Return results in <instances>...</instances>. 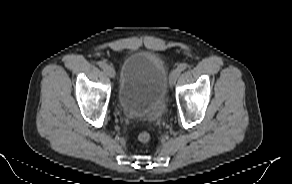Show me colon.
Here are the masks:
<instances>
[{
  "mask_svg": "<svg viewBox=\"0 0 292 184\" xmlns=\"http://www.w3.org/2000/svg\"><path fill=\"white\" fill-rule=\"evenodd\" d=\"M138 141L142 144H148L151 141V135L149 132L143 131L138 135Z\"/></svg>",
  "mask_w": 292,
  "mask_h": 184,
  "instance_id": "1",
  "label": "colon"
}]
</instances>
